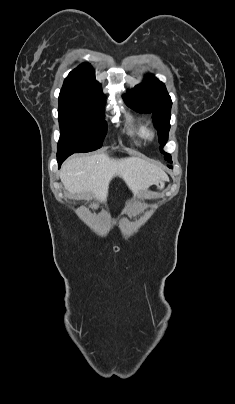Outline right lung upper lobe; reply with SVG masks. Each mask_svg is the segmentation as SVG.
<instances>
[{
	"label": "right lung upper lobe",
	"instance_id": "right-lung-upper-lobe-1",
	"mask_svg": "<svg viewBox=\"0 0 235 404\" xmlns=\"http://www.w3.org/2000/svg\"><path fill=\"white\" fill-rule=\"evenodd\" d=\"M59 97L105 102L101 86L96 81L94 69L89 63H83L69 73L64 80Z\"/></svg>",
	"mask_w": 235,
	"mask_h": 404
}]
</instances>
